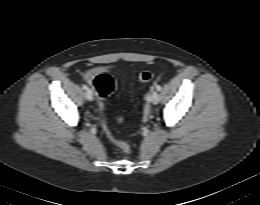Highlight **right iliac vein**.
I'll use <instances>...</instances> for the list:
<instances>
[{
    "mask_svg": "<svg viewBox=\"0 0 260 205\" xmlns=\"http://www.w3.org/2000/svg\"><path fill=\"white\" fill-rule=\"evenodd\" d=\"M85 97L87 100L92 101L94 99L93 92L88 89L85 93Z\"/></svg>",
    "mask_w": 260,
    "mask_h": 205,
    "instance_id": "63e3f726",
    "label": "right iliac vein"
}]
</instances>
